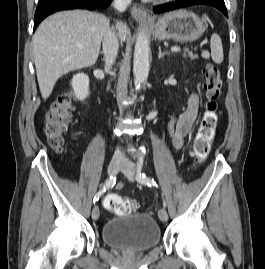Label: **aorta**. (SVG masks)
Masks as SVG:
<instances>
[{
	"mask_svg": "<svg viewBox=\"0 0 265 269\" xmlns=\"http://www.w3.org/2000/svg\"><path fill=\"white\" fill-rule=\"evenodd\" d=\"M149 40L144 31L138 34L134 49L133 73L135 84L138 89L145 83L149 75ZM142 154L145 153V147L140 148Z\"/></svg>",
	"mask_w": 265,
	"mask_h": 269,
	"instance_id": "obj_1",
	"label": "aorta"
}]
</instances>
